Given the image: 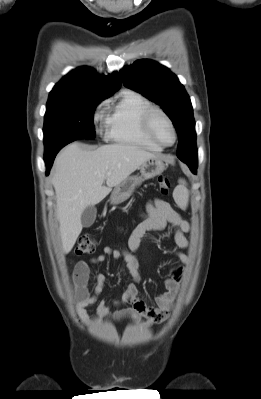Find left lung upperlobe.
Listing matches in <instances>:
<instances>
[{
    "instance_id": "left-lung-upper-lobe-1",
    "label": "left lung upper lobe",
    "mask_w": 261,
    "mask_h": 399,
    "mask_svg": "<svg viewBox=\"0 0 261 399\" xmlns=\"http://www.w3.org/2000/svg\"><path fill=\"white\" fill-rule=\"evenodd\" d=\"M124 85L164 108L173 122L179 145L177 157L181 161L197 160L195 121L190 97L184 86L168 68L143 59L120 71Z\"/></svg>"
}]
</instances>
